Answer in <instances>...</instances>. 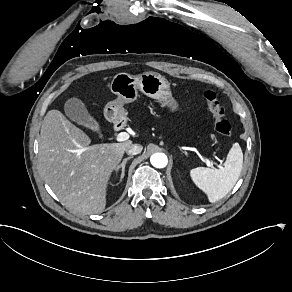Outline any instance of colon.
<instances>
[{"label":"colon","instance_id":"colon-1","mask_svg":"<svg viewBox=\"0 0 292 292\" xmlns=\"http://www.w3.org/2000/svg\"><path fill=\"white\" fill-rule=\"evenodd\" d=\"M203 96L205 104L212 114L216 131L223 136L230 135L231 125L225 118V108L218 95L213 91H206Z\"/></svg>","mask_w":292,"mask_h":292}]
</instances>
